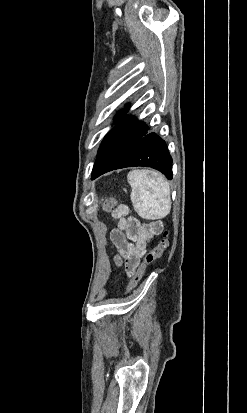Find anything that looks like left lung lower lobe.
I'll return each instance as SVG.
<instances>
[{"instance_id": "left-lung-lower-lobe-1", "label": "left lung lower lobe", "mask_w": 247, "mask_h": 413, "mask_svg": "<svg viewBox=\"0 0 247 413\" xmlns=\"http://www.w3.org/2000/svg\"><path fill=\"white\" fill-rule=\"evenodd\" d=\"M134 117L125 116L104 138L92 171V180L108 171L146 166L172 179V158L164 140Z\"/></svg>"}]
</instances>
